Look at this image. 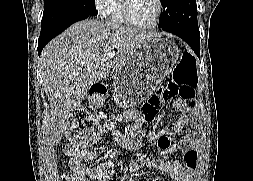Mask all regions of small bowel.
Returning a JSON list of instances; mask_svg holds the SVG:
<instances>
[{
    "label": "small bowel",
    "mask_w": 253,
    "mask_h": 181,
    "mask_svg": "<svg viewBox=\"0 0 253 181\" xmlns=\"http://www.w3.org/2000/svg\"><path fill=\"white\" fill-rule=\"evenodd\" d=\"M174 108L178 112L177 120L171 130L162 123L158 133L150 132L146 136L150 141L158 139L160 147L168 151L170 140L167 134L172 132L178 134L183 130H188L187 135L179 143L178 147L182 151L183 163L169 161L165 159H150L144 164L133 161L126 166V172L130 175L129 181H134L135 173L143 166L168 175L173 181H191L198 164V149L196 140L197 123L195 113L185 108L182 99L174 101ZM125 117L134 121L132 131L129 135L118 129L116 121L108 120L104 123L103 129L113 136L114 140L121 146L136 148L145 134L142 119L135 111L127 112ZM69 166L72 174L79 176L81 181H109L115 174L114 162L106 161L98 166L94 165L97 154L79 148L66 150ZM153 181H167L166 178H155Z\"/></svg>",
    "instance_id": "c3829d8e"
}]
</instances>
